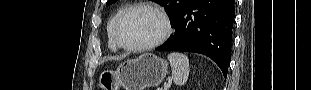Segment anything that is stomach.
<instances>
[{"instance_id": "obj_1", "label": "stomach", "mask_w": 311, "mask_h": 90, "mask_svg": "<svg viewBox=\"0 0 311 90\" xmlns=\"http://www.w3.org/2000/svg\"><path fill=\"white\" fill-rule=\"evenodd\" d=\"M168 63L154 54H142L138 58L121 63L118 68L104 70L98 82L102 90H144L158 86L165 78Z\"/></svg>"}]
</instances>
